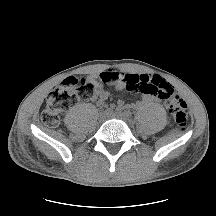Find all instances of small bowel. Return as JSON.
Wrapping results in <instances>:
<instances>
[{
	"label": "small bowel",
	"mask_w": 216,
	"mask_h": 216,
	"mask_svg": "<svg viewBox=\"0 0 216 216\" xmlns=\"http://www.w3.org/2000/svg\"><path fill=\"white\" fill-rule=\"evenodd\" d=\"M100 79L113 86L115 90L118 91H134L130 89L131 81H138L139 83L153 84L156 85L159 82H166L158 75H149V74H135V73H123V72H115L112 70L104 71L99 75ZM142 102L131 105L134 108L140 107V105L148 104L153 102L154 100H161L158 95L150 93V92H142ZM109 97V91L103 87H99L95 94L92 96V100L99 105L105 103V101ZM118 109L124 108L125 103L123 100H119L116 104Z\"/></svg>",
	"instance_id": "small-bowel-1"
}]
</instances>
